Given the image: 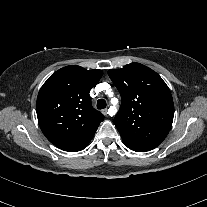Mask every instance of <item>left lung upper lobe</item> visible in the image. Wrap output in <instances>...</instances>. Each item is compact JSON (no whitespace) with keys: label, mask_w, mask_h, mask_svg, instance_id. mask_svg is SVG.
I'll use <instances>...</instances> for the list:
<instances>
[{"label":"left lung upper lobe","mask_w":207,"mask_h":207,"mask_svg":"<svg viewBox=\"0 0 207 207\" xmlns=\"http://www.w3.org/2000/svg\"><path fill=\"white\" fill-rule=\"evenodd\" d=\"M108 74L122 99L114 123L123 141L157 147L167 136L174 116L173 99L166 83L139 63L109 70Z\"/></svg>","instance_id":"5c2ea615"}]
</instances>
